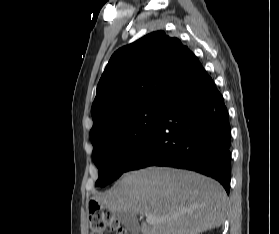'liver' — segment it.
I'll list each match as a JSON object with an SVG mask.
<instances>
[{"label": "liver", "instance_id": "obj_1", "mask_svg": "<svg viewBox=\"0 0 279 234\" xmlns=\"http://www.w3.org/2000/svg\"><path fill=\"white\" fill-rule=\"evenodd\" d=\"M113 213L152 215L142 234H199L218 228L228 213L223 187L198 173L149 167L125 173L115 187L96 198Z\"/></svg>", "mask_w": 279, "mask_h": 234}]
</instances>
